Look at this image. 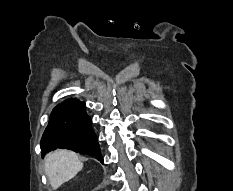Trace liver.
<instances>
[{
    "label": "liver",
    "instance_id": "liver-1",
    "mask_svg": "<svg viewBox=\"0 0 233 191\" xmlns=\"http://www.w3.org/2000/svg\"><path fill=\"white\" fill-rule=\"evenodd\" d=\"M82 168L81 158L70 150H55L45 157V172L53 189L74 178Z\"/></svg>",
    "mask_w": 233,
    "mask_h": 191
}]
</instances>
